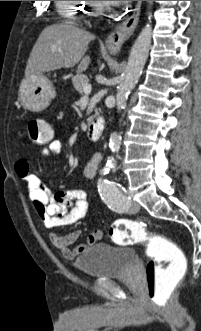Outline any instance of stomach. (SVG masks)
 Returning a JSON list of instances; mask_svg holds the SVG:
<instances>
[{"instance_id":"stomach-1","label":"stomach","mask_w":201,"mask_h":331,"mask_svg":"<svg viewBox=\"0 0 201 331\" xmlns=\"http://www.w3.org/2000/svg\"><path fill=\"white\" fill-rule=\"evenodd\" d=\"M55 95L56 91L52 82L44 75L25 78L20 84L19 99L32 112L46 109Z\"/></svg>"}]
</instances>
